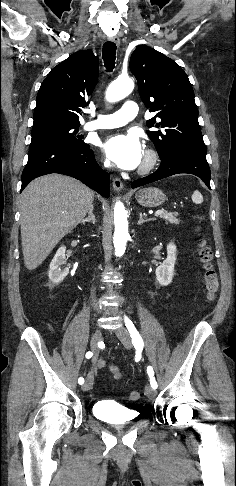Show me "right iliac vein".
I'll return each instance as SVG.
<instances>
[{
	"label": "right iliac vein",
	"instance_id": "1",
	"mask_svg": "<svg viewBox=\"0 0 236 486\" xmlns=\"http://www.w3.org/2000/svg\"><path fill=\"white\" fill-rule=\"evenodd\" d=\"M101 339H102L101 329L100 328H97L95 330V332L93 333L92 338H91V341H90V346H91V349L94 352L95 356L97 354L98 344L101 341ZM93 380H94L93 372L91 371L87 375L86 381H85L84 385L82 386V390L83 391L90 390L92 388V386H93Z\"/></svg>",
	"mask_w": 236,
	"mask_h": 486
}]
</instances>
